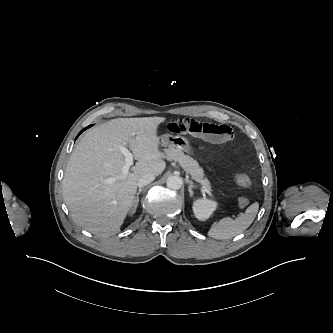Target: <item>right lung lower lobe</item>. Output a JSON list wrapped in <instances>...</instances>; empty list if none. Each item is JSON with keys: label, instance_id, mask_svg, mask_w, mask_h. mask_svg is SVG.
Returning <instances> with one entry per match:
<instances>
[{"label": "right lung lower lobe", "instance_id": "right-lung-lower-lobe-1", "mask_svg": "<svg viewBox=\"0 0 333 333\" xmlns=\"http://www.w3.org/2000/svg\"><path fill=\"white\" fill-rule=\"evenodd\" d=\"M90 126H91V125H90ZM90 126H88L87 128H89ZM84 130H85V129H83V130L78 134V136H79ZM78 136H77V137H78Z\"/></svg>", "mask_w": 333, "mask_h": 333}]
</instances>
